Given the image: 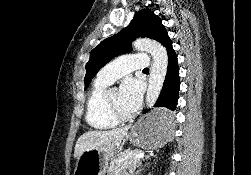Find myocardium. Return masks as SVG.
Returning <instances> with one entry per match:
<instances>
[{
	"label": "myocardium",
	"mask_w": 251,
	"mask_h": 175,
	"mask_svg": "<svg viewBox=\"0 0 251 175\" xmlns=\"http://www.w3.org/2000/svg\"><path fill=\"white\" fill-rule=\"evenodd\" d=\"M108 94H109V91H106L105 92V97H104V105H105V109L106 111L108 112V114L112 117H114L116 120L117 119H125L127 118V115L125 113H119V112H115L110 103H109V100H108Z\"/></svg>",
	"instance_id": "1"
}]
</instances>
